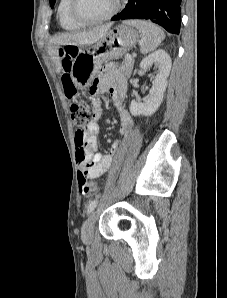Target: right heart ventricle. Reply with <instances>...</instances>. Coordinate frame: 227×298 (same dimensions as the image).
I'll list each match as a JSON object with an SVG mask.
<instances>
[{"label": "right heart ventricle", "instance_id": "obj_1", "mask_svg": "<svg viewBox=\"0 0 227 298\" xmlns=\"http://www.w3.org/2000/svg\"><path fill=\"white\" fill-rule=\"evenodd\" d=\"M70 0H60L57 7V15L60 26L69 31L78 30L84 25L76 22L69 13Z\"/></svg>", "mask_w": 227, "mask_h": 298}]
</instances>
